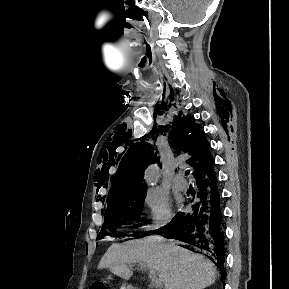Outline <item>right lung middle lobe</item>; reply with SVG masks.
I'll return each instance as SVG.
<instances>
[{"mask_svg": "<svg viewBox=\"0 0 289 289\" xmlns=\"http://www.w3.org/2000/svg\"><path fill=\"white\" fill-rule=\"evenodd\" d=\"M146 197V193L136 194L122 201L116 202L114 204L108 205L105 211L104 224L97 237L101 239L106 234V230L114 232L117 227L121 226L119 221L121 219L137 221L138 218L136 213H141L143 203ZM139 224H134L133 228L136 229ZM134 232L130 236H135ZM116 236H124L123 233H118Z\"/></svg>", "mask_w": 289, "mask_h": 289, "instance_id": "obj_1", "label": "right lung middle lobe"}]
</instances>
